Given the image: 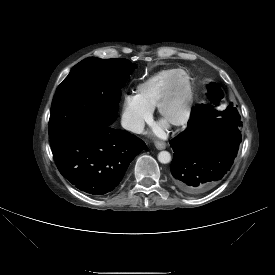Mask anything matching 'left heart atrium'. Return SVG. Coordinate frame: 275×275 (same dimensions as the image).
Segmentation results:
<instances>
[{
	"instance_id": "obj_1",
	"label": "left heart atrium",
	"mask_w": 275,
	"mask_h": 275,
	"mask_svg": "<svg viewBox=\"0 0 275 275\" xmlns=\"http://www.w3.org/2000/svg\"><path fill=\"white\" fill-rule=\"evenodd\" d=\"M165 125L160 123V124H157L154 129H153V132L158 135V136H164L165 135Z\"/></svg>"
}]
</instances>
